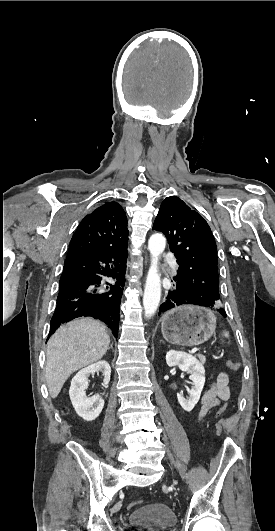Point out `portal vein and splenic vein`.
<instances>
[{"label": "portal vein and splenic vein", "mask_w": 275, "mask_h": 531, "mask_svg": "<svg viewBox=\"0 0 275 531\" xmlns=\"http://www.w3.org/2000/svg\"><path fill=\"white\" fill-rule=\"evenodd\" d=\"M195 352H199V349H197V347H193V349L191 350V353H195Z\"/></svg>", "instance_id": "18ae733b"}]
</instances>
